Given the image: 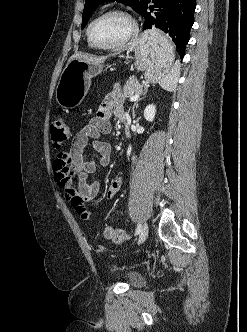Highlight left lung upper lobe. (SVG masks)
Returning <instances> with one entry per match:
<instances>
[{"mask_svg":"<svg viewBox=\"0 0 247 332\" xmlns=\"http://www.w3.org/2000/svg\"><path fill=\"white\" fill-rule=\"evenodd\" d=\"M109 1H115V0H86L85 6L83 10V21L81 28L83 29L87 22L90 19V16L94 12V10L102 3L109 2ZM119 2L128 5L132 7L135 11L141 13L144 6H145V0H118Z\"/></svg>","mask_w":247,"mask_h":332,"instance_id":"1","label":"left lung upper lobe"}]
</instances>
